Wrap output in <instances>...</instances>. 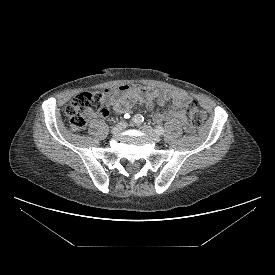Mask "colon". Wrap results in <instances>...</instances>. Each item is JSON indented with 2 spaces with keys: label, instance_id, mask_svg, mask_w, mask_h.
<instances>
[{
  "label": "colon",
  "instance_id": "1",
  "mask_svg": "<svg viewBox=\"0 0 275 275\" xmlns=\"http://www.w3.org/2000/svg\"><path fill=\"white\" fill-rule=\"evenodd\" d=\"M105 112L104 96L101 92H82L76 95L65 109L70 126L74 131L82 130L92 115ZM188 117L191 127L197 128L203 123L205 113L195 101H190Z\"/></svg>",
  "mask_w": 275,
  "mask_h": 275
}]
</instances>
